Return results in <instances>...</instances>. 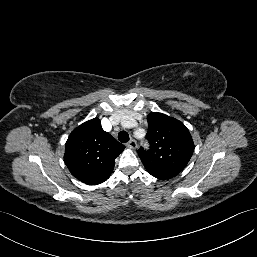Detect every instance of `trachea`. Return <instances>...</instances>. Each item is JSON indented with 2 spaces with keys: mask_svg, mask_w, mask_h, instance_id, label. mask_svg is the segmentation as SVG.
Returning <instances> with one entry per match:
<instances>
[{
  "mask_svg": "<svg viewBox=\"0 0 257 257\" xmlns=\"http://www.w3.org/2000/svg\"><path fill=\"white\" fill-rule=\"evenodd\" d=\"M118 139L121 143H126L129 141V134L126 131H121L118 134Z\"/></svg>",
  "mask_w": 257,
  "mask_h": 257,
  "instance_id": "trachea-1",
  "label": "trachea"
}]
</instances>
